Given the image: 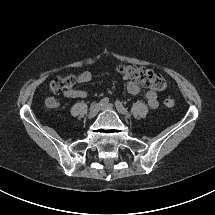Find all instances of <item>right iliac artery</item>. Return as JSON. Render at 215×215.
<instances>
[{
    "instance_id": "obj_1",
    "label": "right iliac artery",
    "mask_w": 215,
    "mask_h": 215,
    "mask_svg": "<svg viewBox=\"0 0 215 215\" xmlns=\"http://www.w3.org/2000/svg\"><path fill=\"white\" fill-rule=\"evenodd\" d=\"M109 102V98L108 97H104L103 99L100 100L99 104L101 106L108 104Z\"/></svg>"
}]
</instances>
